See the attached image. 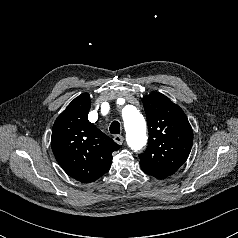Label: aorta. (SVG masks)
<instances>
[{
    "label": "aorta",
    "mask_w": 238,
    "mask_h": 238,
    "mask_svg": "<svg viewBox=\"0 0 238 238\" xmlns=\"http://www.w3.org/2000/svg\"><path fill=\"white\" fill-rule=\"evenodd\" d=\"M127 143L131 149L140 150L146 141V123L142 114L134 106H125L122 110Z\"/></svg>",
    "instance_id": "1"
}]
</instances>
